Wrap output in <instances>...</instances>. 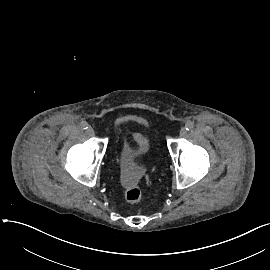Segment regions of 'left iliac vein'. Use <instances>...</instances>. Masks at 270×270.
Instances as JSON below:
<instances>
[{
    "label": "left iliac vein",
    "instance_id": "obj_1",
    "mask_svg": "<svg viewBox=\"0 0 270 270\" xmlns=\"http://www.w3.org/2000/svg\"><path fill=\"white\" fill-rule=\"evenodd\" d=\"M180 136L181 137H184V136H186V134H187V130H186V128L185 127H182L181 129H180Z\"/></svg>",
    "mask_w": 270,
    "mask_h": 270
}]
</instances>
